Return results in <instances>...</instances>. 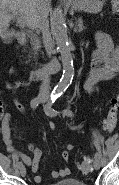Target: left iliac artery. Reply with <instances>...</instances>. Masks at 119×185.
Wrapping results in <instances>:
<instances>
[{"label": "left iliac artery", "instance_id": "left-iliac-artery-1", "mask_svg": "<svg viewBox=\"0 0 119 185\" xmlns=\"http://www.w3.org/2000/svg\"><path fill=\"white\" fill-rule=\"evenodd\" d=\"M59 97L58 96H54V97H51L50 101L45 105L44 107V111L47 115L49 116H56L58 113L57 110H55L52 105L54 104L55 100ZM63 114L67 115V116H72V111L69 110V109H65L62 111ZM95 157H99L100 158V154L99 153H95Z\"/></svg>", "mask_w": 119, "mask_h": 185}]
</instances>
